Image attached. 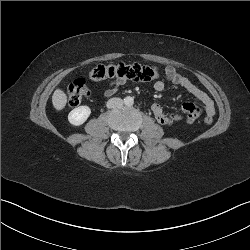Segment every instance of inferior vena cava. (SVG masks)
<instances>
[{
    "label": "inferior vena cava",
    "instance_id": "obj_1",
    "mask_svg": "<svg viewBox=\"0 0 250 250\" xmlns=\"http://www.w3.org/2000/svg\"><path fill=\"white\" fill-rule=\"evenodd\" d=\"M123 105V100L120 98H111L107 101L108 108H116Z\"/></svg>",
    "mask_w": 250,
    "mask_h": 250
}]
</instances>
